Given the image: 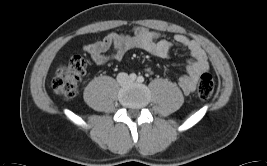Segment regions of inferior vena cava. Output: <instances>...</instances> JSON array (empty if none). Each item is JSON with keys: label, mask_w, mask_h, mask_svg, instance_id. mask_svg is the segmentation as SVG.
I'll list each match as a JSON object with an SVG mask.
<instances>
[{"label": "inferior vena cava", "mask_w": 267, "mask_h": 166, "mask_svg": "<svg viewBox=\"0 0 267 166\" xmlns=\"http://www.w3.org/2000/svg\"><path fill=\"white\" fill-rule=\"evenodd\" d=\"M117 80L120 84H126L129 81V76L127 73H119Z\"/></svg>", "instance_id": "inferior-vena-cava-1"}]
</instances>
